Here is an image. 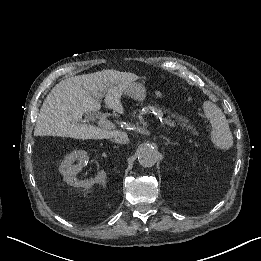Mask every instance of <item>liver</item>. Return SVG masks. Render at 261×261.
Instances as JSON below:
<instances>
[{
    "label": "liver",
    "mask_w": 261,
    "mask_h": 261,
    "mask_svg": "<svg viewBox=\"0 0 261 261\" xmlns=\"http://www.w3.org/2000/svg\"><path fill=\"white\" fill-rule=\"evenodd\" d=\"M139 77L131 73L102 71L73 76L59 82L44 101L36 122L34 136L66 137L77 140L114 138L119 131L83 124L82 117L100 110L99 100L124 114L121 98Z\"/></svg>",
    "instance_id": "obj_1"
}]
</instances>
